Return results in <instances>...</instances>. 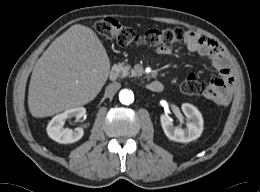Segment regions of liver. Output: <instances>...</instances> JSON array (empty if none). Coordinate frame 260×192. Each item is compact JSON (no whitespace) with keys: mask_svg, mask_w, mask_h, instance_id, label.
I'll list each match as a JSON object with an SVG mask.
<instances>
[{"mask_svg":"<svg viewBox=\"0 0 260 192\" xmlns=\"http://www.w3.org/2000/svg\"><path fill=\"white\" fill-rule=\"evenodd\" d=\"M110 60L96 33L75 24L56 38L36 62L28 107L37 118L85 105L101 91Z\"/></svg>","mask_w":260,"mask_h":192,"instance_id":"obj_1","label":"liver"}]
</instances>
